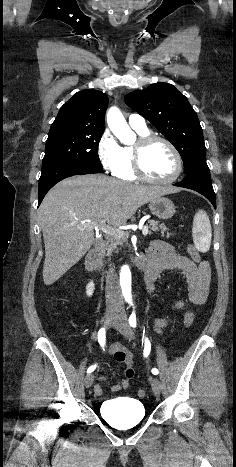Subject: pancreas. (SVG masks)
Returning <instances> with one entry per match:
<instances>
[{
	"mask_svg": "<svg viewBox=\"0 0 236 467\" xmlns=\"http://www.w3.org/2000/svg\"><path fill=\"white\" fill-rule=\"evenodd\" d=\"M148 223H149V228H150V234L152 233V231L153 232L160 231L161 236L164 237V232L168 230V228L164 224H159V222L155 220H149ZM169 236L170 234L167 233L166 237L169 238ZM123 243H124V239H120V238L111 239L110 246L107 251V256H109L111 252L117 248L118 245L122 246Z\"/></svg>",
	"mask_w": 236,
	"mask_h": 467,
	"instance_id": "pancreas-1",
	"label": "pancreas"
}]
</instances>
